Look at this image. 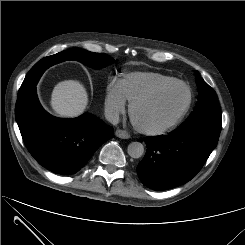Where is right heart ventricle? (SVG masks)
Wrapping results in <instances>:
<instances>
[{
    "label": "right heart ventricle",
    "instance_id": "obj_1",
    "mask_svg": "<svg viewBox=\"0 0 245 245\" xmlns=\"http://www.w3.org/2000/svg\"><path fill=\"white\" fill-rule=\"evenodd\" d=\"M174 80L173 77L156 72H134L119 80L121 92L128 103L154 88Z\"/></svg>",
    "mask_w": 245,
    "mask_h": 245
}]
</instances>
